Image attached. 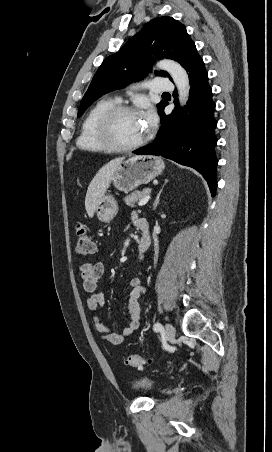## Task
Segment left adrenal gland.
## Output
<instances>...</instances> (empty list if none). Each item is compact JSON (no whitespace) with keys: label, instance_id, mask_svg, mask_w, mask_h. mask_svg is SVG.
<instances>
[{"label":"left adrenal gland","instance_id":"obj_1","mask_svg":"<svg viewBox=\"0 0 272 452\" xmlns=\"http://www.w3.org/2000/svg\"><path fill=\"white\" fill-rule=\"evenodd\" d=\"M167 182H168V179L165 180L164 184L162 185L161 190H160L159 193L157 194V196H156V198H155V200H154V203H153V209H156V207L158 206L159 201H160V195H161V193H162V191H163L164 186L167 184Z\"/></svg>","mask_w":272,"mask_h":452}]
</instances>
